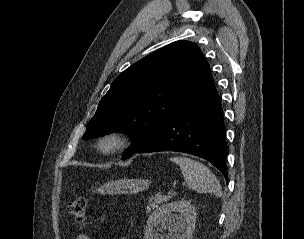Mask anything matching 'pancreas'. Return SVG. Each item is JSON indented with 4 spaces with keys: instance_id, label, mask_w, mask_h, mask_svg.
<instances>
[{
    "instance_id": "1",
    "label": "pancreas",
    "mask_w": 304,
    "mask_h": 239,
    "mask_svg": "<svg viewBox=\"0 0 304 239\" xmlns=\"http://www.w3.org/2000/svg\"><path fill=\"white\" fill-rule=\"evenodd\" d=\"M168 200V197L162 196L161 194L156 195L155 197H153L152 200H150L149 205L146 208L147 212H150L151 209H155L158 207V205H160L163 202H166Z\"/></svg>"
}]
</instances>
